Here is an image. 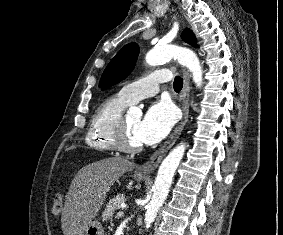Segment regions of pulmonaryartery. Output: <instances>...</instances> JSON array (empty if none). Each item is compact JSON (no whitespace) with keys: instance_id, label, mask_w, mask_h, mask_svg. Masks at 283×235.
<instances>
[{"instance_id":"1","label":"pulmonary artery","mask_w":283,"mask_h":235,"mask_svg":"<svg viewBox=\"0 0 283 235\" xmlns=\"http://www.w3.org/2000/svg\"><path fill=\"white\" fill-rule=\"evenodd\" d=\"M170 80L169 71L161 69L150 73L149 75L125 85L120 94L129 103H136L139 100L154 96L159 91V86Z\"/></svg>"}]
</instances>
